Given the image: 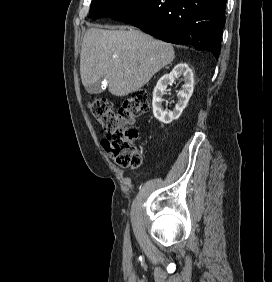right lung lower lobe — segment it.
Returning a JSON list of instances; mask_svg holds the SVG:
<instances>
[{"instance_id": "right-lung-lower-lobe-1", "label": "right lung lower lobe", "mask_w": 272, "mask_h": 282, "mask_svg": "<svg viewBox=\"0 0 272 282\" xmlns=\"http://www.w3.org/2000/svg\"><path fill=\"white\" fill-rule=\"evenodd\" d=\"M226 0H137L110 18L132 24L166 42L191 44L217 58Z\"/></svg>"}]
</instances>
